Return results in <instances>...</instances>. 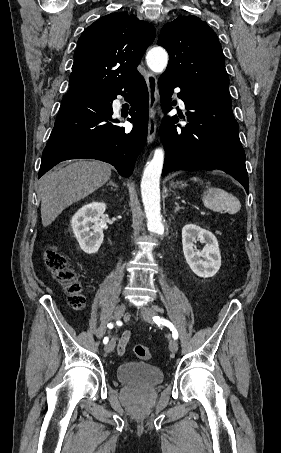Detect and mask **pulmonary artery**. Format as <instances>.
<instances>
[{
	"mask_svg": "<svg viewBox=\"0 0 281 453\" xmlns=\"http://www.w3.org/2000/svg\"><path fill=\"white\" fill-rule=\"evenodd\" d=\"M176 93H178V92H176ZM121 102H122V98H121L120 96H117V97L113 100V107H114V109H118V108L120 107V105H121ZM179 104H180L181 106H184V103H183L181 100H179Z\"/></svg>",
	"mask_w": 281,
	"mask_h": 453,
	"instance_id": "1",
	"label": "pulmonary artery"
}]
</instances>
